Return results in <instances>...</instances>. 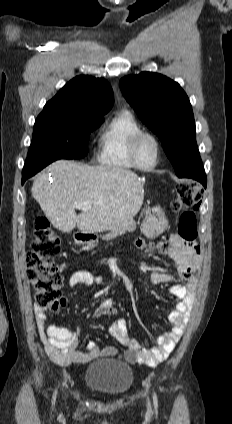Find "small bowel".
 I'll return each instance as SVG.
<instances>
[{
  "mask_svg": "<svg viewBox=\"0 0 232 424\" xmlns=\"http://www.w3.org/2000/svg\"><path fill=\"white\" fill-rule=\"evenodd\" d=\"M135 244L140 249H154L160 254L172 259L178 265V277L182 284L172 285L169 292L178 303L169 313L172 329L157 338V346L142 349L139 343L128 333L126 320L120 318L109 327V334L121 345L126 347L123 358L131 363H142L148 367H155L167 359L182 337L195 304L196 272L200 266L201 249L197 243H186L177 234H172L166 240L154 245L148 244L145 239L137 238ZM173 275L168 272H154L151 282L155 285L170 282ZM103 278L87 270H77L70 274L66 286L101 285ZM38 332L44 344L46 353L57 364L69 366L83 364L90 360L114 356L117 349L114 346L100 348L95 342H89L84 350L79 349L80 328L70 330L55 325H48L47 314L34 307ZM117 314L113 300H103L92 314L93 318Z\"/></svg>",
  "mask_w": 232,
  "mask_h": 424,
  "instance_id": "small-bowel-1",
  "label": "small bowel"
}]
</instances>
